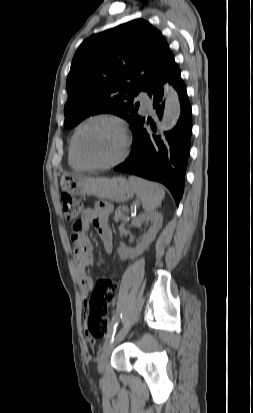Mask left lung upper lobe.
Here are the masks:
<instances>
[{
	"mask_svg": "<svg viewBox=\"0 0 253 413\" xmlns=\"http://www.w3.org/2000/svg\"><path fill=\"white\" fill-rule=\"evenodd\" d=\"M172 57L161 32L142 19L85 39L67 77L65 127L99 113L116 114L132 126L140 116L134 97L149 90Z\"/></svg>",
	"mask_w": 253,
	"mask_h": 413,
	"instance_id": "5c2ea615",
	"label": "left lung upper lobe"
}]
</instances>
